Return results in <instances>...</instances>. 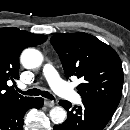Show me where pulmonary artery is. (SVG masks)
<instances>
[{
    "label": "pulmonary artery",
    "mask_w": 130,
    "mask_h": 130,
    "mask_svg": "<svg viewBox=\"0 0 130 130\" xmlns=\"http://www.w3.org/2000/svg\"><path fill=\"white\" fill-rule=\"evenodd\" d=\"M43 74L48 81L50 87L60 96L73 102L80 103L81 96L75 92L66 82H64L54 67L50 63H46L43 67Z\"/></svg>",
    "instance_id": "pulmonary-artery-1"
}]
</instances>
